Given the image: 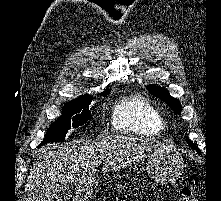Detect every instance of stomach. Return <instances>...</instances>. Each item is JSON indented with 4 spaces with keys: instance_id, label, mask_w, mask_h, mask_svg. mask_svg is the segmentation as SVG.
<instances>
[{
    "instance_id": "stomach-1",
    "label": "stomach",
    "mask_w": 221,
    "mask_h": 201,
    "mask_svg": "<svg viewBox=\"0 0 221 201\" xmlns=\"http://www.w3.org/2000/svg\"><path fill=\"white\" fill-rule=\"evenodd\" d=\"M184 168L183 158L176 150L159 151L149 155L146 170L150 178L158 183H172L182 174ZM92 187L81 192L79 197H87Z\"/></svg>"
}]
</instances>
